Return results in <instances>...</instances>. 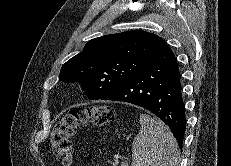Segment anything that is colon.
<instances>
[{
  "instance_id": "1",
  "label": "colon",
  "mask_w": 231,
  "mask_h": 166,
  "mask_svg": "<svg viewBox=\"0 0 231 166\" xmlns=\"http://www.w3.org/2000/svg\"><path fill=\"white\" fill-rule=\"evenodd\" d=\"M115 118L114 110L109 105L77 107L63 115L55 124L51 135V148L54 156L64 166L72 164L71 137L80 126L90 121L98 126L106 125Z\"/></svg>"
}]
</instances>
